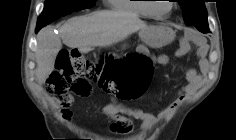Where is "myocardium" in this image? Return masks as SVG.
Wrapping results in <instances>:
<instances>
[{"mask_svg":"<svg viewBox=\"0 0 236 140\" xmlns=\"http://www.w3.org/2000/svg\"><path fill=\"white\" fill-rule=\"evenodd\" d=\"M151 1H153V0H151ZM174 8H175L174 4L172 2H170L169 11L165 14H160L156 11L155 6L153 4L149 5V10H150L152 16H154L155 18H158V19H165V18L169 17L170 14L173 12Z\"/></svg>","mask_w":236,"mask_h":140,"instance_id":"myocardium-1","label":"myocardium"}]
</instances>
